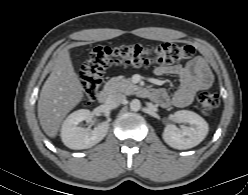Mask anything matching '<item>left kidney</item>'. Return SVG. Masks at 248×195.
Listing matches in <instances>:
<instances>
[{
	"instance_id": "left-kidney-1",
	"label": "left kidney",
	"mask_w": 248,
	"mask_h": 195,
	"mask_svg": "<svg viewBox=\"0 0 248 195\" xmlns=\"http://www.w3.org/2000/svg\"><path fill=\"white\" fill-rule=\"evenodd\" d=\"M174 119L179 123H188L189 127L177 128L168 124L163 132L164 141L172 148L185 150L197 146L208 133L207 122L198 114L180 110L175 112Z\"/></svg>"
}]
</instances>
